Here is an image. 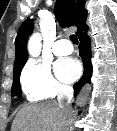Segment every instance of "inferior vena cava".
Returning <instances> with one entry per match:
<instances>
[{
  "mask_svg": "<svg viewBox=\"0 0 117 131\" xmlns=\"http://www.w3.org/2000/svg\"><path fill=\"white\" fill-rule=\"evenodd\" d=\"M73 93H74L73 88L67 85L60 86L58 90L57 96L58 104L65 109L69 117L73 116V110L70 106V102L73 98Z\"/></svg>",
  "mask_w": 117,
  "mask_h": 131,
  "instance_id": "obj_1",
  "label": "inferior vena cava"
}]
</instances>
